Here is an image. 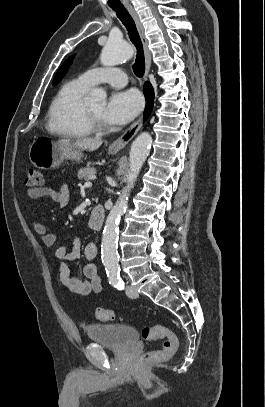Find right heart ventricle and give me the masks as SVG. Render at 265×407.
<instances>
[{
    "mask_svg": "<svg viewBox=\"0 0 265 407\" xmlns=\"http://www.w3.org/2000/svg\"><path fill=\"white\" fill-rule=\"evenodd\" d=\"M79 78L67 81L53 98L46 128L57 137L86 138L92 134L84 118V96L89 90Z\"/></svg>",
    "mask_w": 265,
    "mask_h": 407,
    "instance_id": "obj_1",
    "label": "right heart ventricle"
}]
</instances>
